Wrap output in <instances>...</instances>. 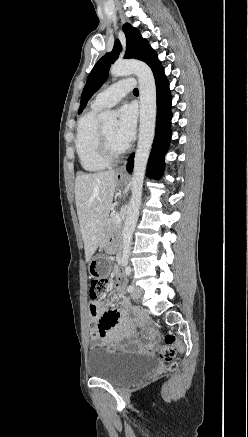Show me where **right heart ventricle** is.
Returning a JSON list of instances; mask_svg holds the SVG:
<instances>
[{"label": "right heart ventricle", "instance_id": "obj_1", "mask_svg": "<svg viewBox=\"0 0 248 437\" xmlns=\"http://www.w3.org/2000/svg\"><path fill=\"white\" fill-rule=\"evenodd\" d=\"M100 111L101 109L91 106L79 119L77 126L76 152L81 167L87 172H99L109 165L99 151L98 113Z\"/></svg>", "mask_w": 248, "mask_h": 437}]
</instances>
